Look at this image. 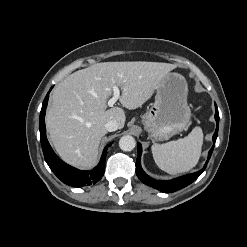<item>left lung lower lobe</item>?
<instances>
[{
	"mask_svg": "<svg viewBox=\"0 0 247 247\" xmlns=\"http://www.w3.org/2000/svg\"><path fill=\"white\" fill-rule=\"evenodd\" d=\"M216 107V112H215V120L217 122V128L216 131L213 135V143L215 145V141L217 139V134H218V127H219V114H218V109L217 106L215 104ZM214 145L212 146V148L209 151V155H208V160L210 159V156L212 154ZM141 153H142V147L141 145L138 143V156H137V161H136V174L138 176V178L146 185L151 186L163 193H169V192H174L176 190H179L185 186H187L188 184L192 183L194 180H196L199 175L205 170L206 165L208 163V160L206 161V164L204 166L203 169L199 170L198 172H195L193 174H189V175H185V176H181L169 181H157L155 179H152L151 177H149L143 170L141 167Z\"/></svg>",
	"mask_w": 247,
	"mask_h": 247,
	"instance_id": "left-lung-lower-lobe-1",
	"label": "left lung lower lobe"
}]
</instances>
